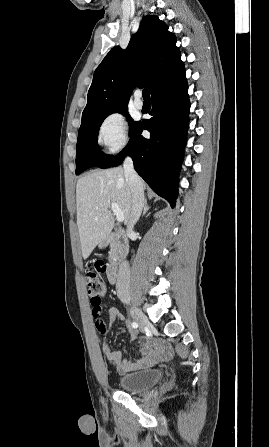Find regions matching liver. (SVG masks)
Segmentation results:
<instances>
[{"instance_id": "6515ba94", "label": "liver", "mask_w": 269, "mask_h": 447, "mask_svg": "<svg viewBox=\"0 0 269 447\" xmlns=\"http://www.w3.org/2000/svg\"><path fill=\"white\" fill-rule=\"evenodd\" d=\"M145 190V184L142 182ZM118 204L128 224L132 198L123 168L92 170L76 186L77 225L84 259L94 247L107 239L114 227L111 204Z\"/></svg>"}]
</instances>
